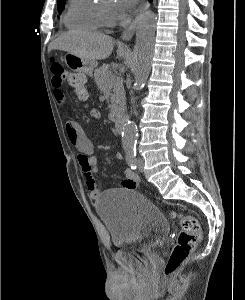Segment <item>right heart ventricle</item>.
<instances>
[{
    "label": "right heart ventricle",
    "mask_w": 245,
    "mask_h": 300,
    "mask_svg": "<svg viewBox=\"0 0 245 300\" xmlns=\"http://www.w3.org/2000/svg\"><path fill=\"white\" fill-rule=\"evenodd\" d=\"M65 25L71 30L97 31L103 25L102 7L94 0H70Z\"/></svg>",
    "instance_id": "1"
}]
</instances>
